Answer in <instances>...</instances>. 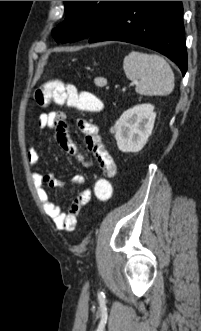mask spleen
Masks as SVG:
<instances>
[{"mask_svg":"<svg viewBox=\"0 0 201 331\" xmlns=\"http://www.w3.org/2000/svg\"><path fill=\"white\" fill-rule=\"evenodd\" d=\"M130 80L139 81L136 92L141 95H169L174 89V73L168 62L157 54L130 52L123 61Z\"/></svg>","mask_w":201,"mask_h":331,"instance_id":"3e777b00","label":"spleen"}]
</instances>
